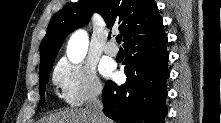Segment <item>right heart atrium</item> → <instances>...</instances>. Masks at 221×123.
Masks as SVG:
<instances>
[{
  "label": "right heart atrium",
  "instance_id": "right-heart-atrium-1",
  "mask_svg": "<svg viewBox=\"0 0 221 123\" xmlns=\"http://www.w3.org/2000/svg\"><path fill=\"white\" fill-rule=\"evenodd\" d=\"M53 82L62 99L71 107H79L96 100L103 89L93 65L71 63L67 60L56 65Z\"/></svg>",
  "mask_w": 221,
  "mask_h": 123
}]
</instances>
